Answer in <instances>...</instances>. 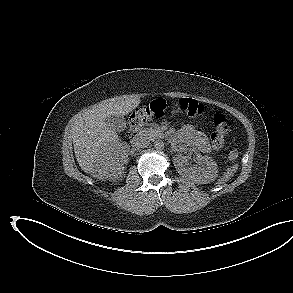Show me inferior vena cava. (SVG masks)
<instances>
[{
  "label": "inferior vena cava",
  "mask_w": 293,
  "mask_h": 293,
  "mask_svg": "<svg viewBox=\"0 0 293 293\" xmlns=\"http://www.w3.org/2000/svg\"><path fill=\"white\" fill-rule=\"evenodd\" d=\"M150 144V141L149 140H146V139H140L139 141H136L133 145V149L135 150H139V149H142V148H146L148 147Z\"/></svg>",
  "instance_id": "1"
}]
</instances>
